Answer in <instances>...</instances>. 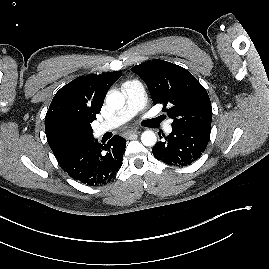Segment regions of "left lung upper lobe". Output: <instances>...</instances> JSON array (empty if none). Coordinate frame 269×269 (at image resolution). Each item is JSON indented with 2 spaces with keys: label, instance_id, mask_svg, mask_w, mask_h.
I'll use <instances>...</instances> for the list:
<instances>
[{
  "label": "left lung upper lobe",
  "instance_id": "left-lung-upper-lobe-1",
  "mask_svg": "<svg viewBox=\"0 0 269 269\" xmlns=\"http://www.w3.org/2000/svg\"><path fill=\"white\" fill-rule=\"evenodd\" d=\"M147 84L154 104H162L173 128L211 127L212 107L205 88L185 68L153 60L131 68Z\"/></svg>",
  "mask_w": 269,
  "mask_h": 269
}]
</instances>
